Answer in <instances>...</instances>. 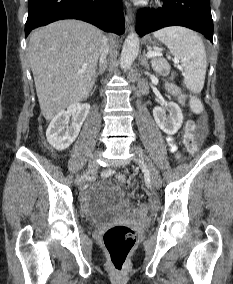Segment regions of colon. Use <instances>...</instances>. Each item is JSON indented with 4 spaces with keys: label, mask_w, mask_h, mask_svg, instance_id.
Here are the masks:
<instances>
[{
    "label": "colon",
    "mask_w": 233,
    "mask_h": 284,
    "mask_svg": "<svg viewBox=\"0 0 233 284\" xmlns=\"http://www.w3.org/2000/svg\"><path fill=\"white\" fill-rule=\"evenodd\" d=\"M153 67L161 75H168L170 68L168 63L161 58L153 61ZM191 110L196 114H202L204 107L199 98L192 95L189 99ZM203 142L201 134L194 125L186 124L183 133V143L190 154H195ZM104 179L115 178L120 185L124 184L126 177L124 174H116L113 169H106L102 173ZM137 218L146 219L148 215V206L140 204L135 212ZM136 241L135 232L125 225H114L108 228L103 235L104 248L108 254L110 263L114 270L122 271L126 267L128 257Z\"/></svg>",
    "instance_id": "1"
}]
</instances>
